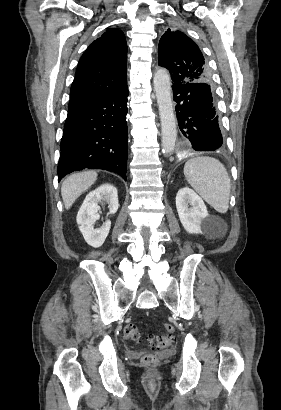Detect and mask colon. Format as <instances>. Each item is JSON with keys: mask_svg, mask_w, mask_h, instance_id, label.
<instances>
[{"mask_svg": "<svg viewBox=\"0 0 281 410\" xmlns=\"http://www.w3.org/2000/svg\"><path fill=\"white\" fill-rule=\"evenodd\" d=\"M164 329L166 333L164 335L155 337L151 339V344L157 350L166 348L173 343V336L172 334L175 331V327L172 324H165ZM124 337L125 339L132 341V342H139L141 338L140 329L135 324H129L124 327ZM145 364H154L157 360V357L153 353H147L142 358Z\"/></svg>", "mask_w": 281, "mask_h": 410, "instance_id": "1", "label": "colon"}]
</instances>
